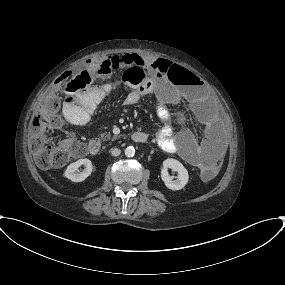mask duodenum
<instances>
[{"instance_id": "1", "label": "duodenum", "mask_w": 285, "mask_h": 285, "mask_svg": "<svg viewBox=\"0 0 285 285\" xmlns=\"http://www.w3.org/2000/svg\"><path fill=\"white\" fill-rule=\"evenodd\" d=\"M78 107L83 108V104H77ZM132 140L137 143H143L147 140V134L142 131H137L132 134ZM88 152L92 156H96L101 151V143L98 139H91L87 146Z\"/></svg>"}]
</instances>
